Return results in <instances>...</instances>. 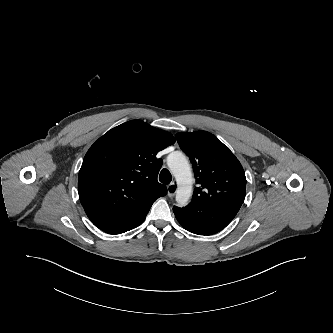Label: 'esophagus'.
Instances as JSON below:
<instances>
[{"instance_id": "obj_1", "label": "esophagus", "mask_w": 333, "mask_h": 333, "mask_svg": "<svg viewBox=\"0 0 333 333\" xmlns=\"http://www.w3.org/2000/svg\"><path fill=\"white\" fill-rule=\"evenodd\" d=\"M176 184L175 182H172L170 185L167 187V192L169 197H173L176 193Z\"/></svg>"}]
</instances>
